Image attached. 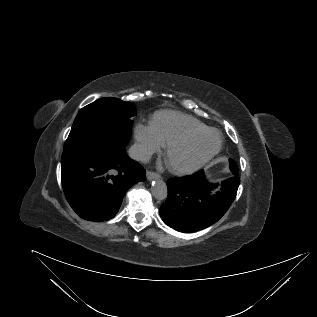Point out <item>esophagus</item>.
<instances>
[{
	"mask_svg": "<svg viewBox=\"0 0 317 317\" xmlns=\"http://www.w3.org/2000/svg\"><path fill=\"white\" fill-rule=\"evenodd\" d=\"M146 177H147L148 180H153V179L160 178V175L155 173V172H153V171H147Z\"/></svg>",
	"mask_w": 317,
	"mask_h": 317,
	"instance_id": "1",
	"label": "esophagus"
}]
</instances>
